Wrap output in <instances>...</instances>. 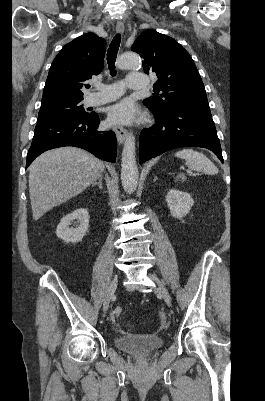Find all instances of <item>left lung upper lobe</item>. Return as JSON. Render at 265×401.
Masks as SVG:
<instances>
[{
  "instance_id": "obj_1",
  "label": "left lung upper lobe",
  "mask_w": 265,
  "mask_h": 401,
  "mask_svg": "<svg viewBox=\"0 0 265 401\" xmlns=\"http://www.w3.org/2000/svg\"><path fill=\"white\" fill-rule=\"evenodd\" d=\"M131 49L144 58V72H154L158 77L153 90L157 94L143 101L152 111L162 113L190 104L208 106L205 88L193 59L173 38L155 30H146Z\"/></svg>"
}]
</instances>
